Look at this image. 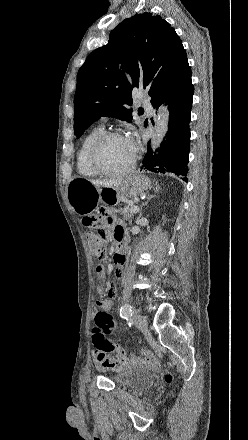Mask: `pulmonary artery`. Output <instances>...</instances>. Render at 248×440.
Returning a JSON list of instances; mask_svg holds the SVG:
<instances>
[{"instance_id":"obj_1","label":"pulmonary artery","mask_w":248,"mask_h":440,"mask_svg":"<svg viewBox=\"0 0 248 440\" xmlns=\"http://www.w3.org/2000/svg\"><path fill=\"white\" fill-rule=\"evenodd\" d=\"M145 104H146V105H148V102H147V101H145Z\"/></svg>"}]
</instances>
